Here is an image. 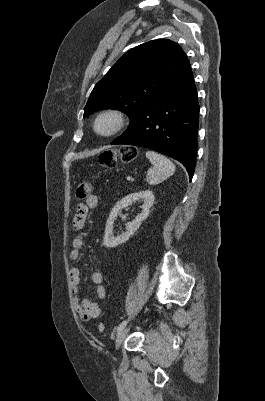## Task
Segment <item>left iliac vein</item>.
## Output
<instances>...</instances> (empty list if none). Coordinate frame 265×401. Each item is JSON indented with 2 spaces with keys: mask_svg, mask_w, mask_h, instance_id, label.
<instances>
[{
  "mask_svg": "<svg viewBox=\"0 0 265 401\" xmlns=\"http://www.w3.org/2000/svg\"><path fill=\"white\" fill-rule=\"evenodd\" d=\"M129 329H130V326L125 327L121 331H119L117 338H116V343H115L117 349L121 346L122 342L124 341L126 335L129 332Z\"/></svg>",
  "mask_w": 265,
  "mask_h": 401,
  "instance_id": "obj_1",
  "label": "left iliac vein"
}]
</instances>
